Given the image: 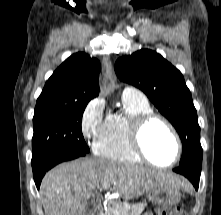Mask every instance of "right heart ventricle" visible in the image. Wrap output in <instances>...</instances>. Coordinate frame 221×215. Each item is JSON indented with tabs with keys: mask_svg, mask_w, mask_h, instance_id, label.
Returning a JSON list of instances; mask_svg holds the SVG:
<instances>
[{
	"mask_svg": "<svg viewBox=\"0 0 221 215\" xmlns=\"http://www.w3.org/2000/svg\"><path fill=\"white\" fill-rule=\"evenodd\" d=\"M122 104L121 112L111 113L104 120L94 142V151L97 155L114 161L139 163L142 159L133 151L129 142V124L137 115L152 109L146 97L122 95Z\"/></svg>",
	"mask_w": 221,
	"mask_h": 215,
	"instance_id": "1",
	"label": "right heart ventricle"
}]
</instances>
